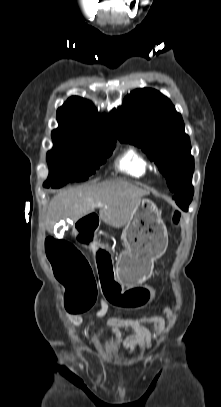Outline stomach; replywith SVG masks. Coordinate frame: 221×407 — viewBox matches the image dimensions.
<instances>
[{"mask_svg": "<svg viewBox=\"0 0 221 407\" xmlns=\"http://www.w3.org/2000/svg\"><path fill=\"white\" fill-rule=\"evenodd\" d=\"M122 240L125 249L116 260L117 278L126 286L145 282L152 274L154 261L168 245L167 229L154 202L140 200L125 226Z\"/></svg>", "mask_w": 221, "mask_h": 407, "instance_id": "obj_1", "label": "stomach"}]
</instances>
